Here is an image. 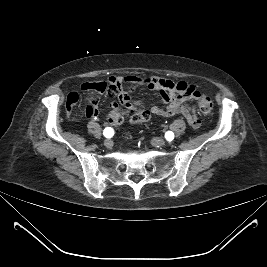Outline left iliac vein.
Returning <instances> with one entry per match:
<instances>
[{"label": "left iliac vein", "mask_w": 267, "mask_h": 267, "mask_svg": "<svg viewBox=\"0 0 267 267\" xmlns=\"http://www.w3.org/2000/svg\"><path fill=\"white\" fill-rule=\"evenodd\" d=\"M151 143L155 147H162V146H164L166 144V142L163 139L157 138V137L156 138H153L151 140Z\"/></svg>", "instance_id": "1"}]
</instances>
